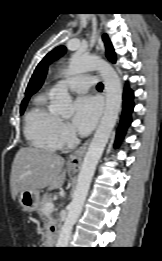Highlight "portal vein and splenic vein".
<instances>
[{
  "instance_id": "1",
  "label": "portal vein and splenic vein",
  "mask_w": 162,
  "mask_h": 261,
  "mask_svg": "<svg viewBox=\"0 0 162 261\" xmlns=\"http://www.w3.org/2000/svg\"><path fill=\"white\" fill-rule=\"evenodd\" d=\"M53 209H54V204H53V202H48V203H46L45 206H44V212H45L46 214L51 213V212L53 211Z\"/></svg>"
}]
</instances>
